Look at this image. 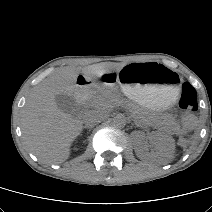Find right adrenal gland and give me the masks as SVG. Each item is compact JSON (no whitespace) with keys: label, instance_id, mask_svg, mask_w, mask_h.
Listing matches in <instances>:
<instances>
[{"label":"right adrenal gland","instance_id":"2a0ac1e0","mask_svg":"<svg viewBox=\"0 0 212 212\" xmlns=\"http://www.w3.org/2000/svg\"><path fill=\"white\" fill-rule=\"evenodd\" d=\"M83 128L86 129V128H89V127H86V126H85V127H83Z\"/></svg>","mask_w":212,"mask_h":212}]
</instances>
